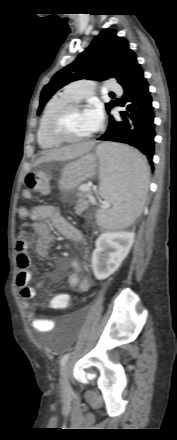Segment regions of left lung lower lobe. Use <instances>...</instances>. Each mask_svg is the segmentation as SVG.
<instances>
[{
  "label": "left lung lower lobe",
  "instance_id": "left-lung-lower-lobe-1",
  "mask_svg": "<svg viewBox=\"0 0 177 440\" xmlns=\"http://www.w3.org/2000/svg\"><path fill=\"white\" fill-rule=\"evenodd\" d=\"M149 85L144 77L142 68L138 69L132 80L123 87V103L125 112H121V119L109 117L107 131L97 140L115 141L137 148L149 161L153 170L154 155V111Z\"/></svg>",
  "mask_w": 177,
  "mask_h": 440
}]
</instances>
